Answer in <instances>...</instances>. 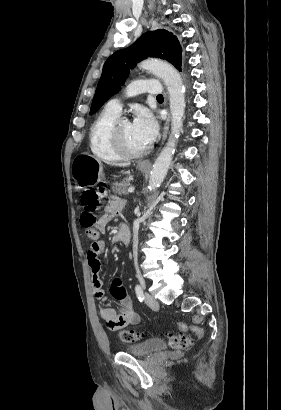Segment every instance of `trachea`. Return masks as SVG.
<instances>
[{
	"instance_id": "3493384b",
	"label": "trachea",
	"mask_w": 281,
	"mask_h": 410,
	"mask_svg": "<svg viewBox=\"0 0 281 410\" xmlns=\"http://www.w3.org/2000/svg\"><path fill=\"white\" fill-rule=\"evenodd\" d=\"M157 98H163V96L162 95H157Z\"/></svg>"
}]
</instances>
